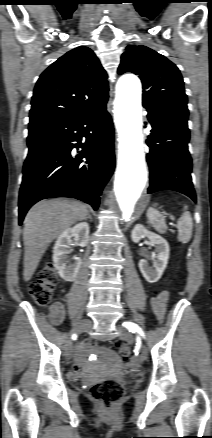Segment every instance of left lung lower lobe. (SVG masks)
<instances>
[{"label":"left lung lower lobe","mask_w":212,"mask_h":438,"mask_svg":"<svg viewBox=\"0 0 212 438\" xmlns=\"http://www.w3.org/2000/svg\"><path fill=\"white\" fill-rule=\"evenodd\" d=\"M152 126L147 141L151 148L147 154L150 168L148 193L174 190L196 201L192 184V160L188 151L190 133L187 120L166 117L148 111Z\"/></svg>","instance_id":"0a47b994"}]
</instances>
